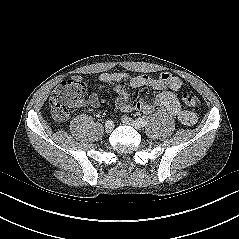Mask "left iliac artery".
<instances>
[{"label":"left iliac artery","instance_id":"1","mask_svg":"<svg viewBox=\"0 0 239 239\" xmlns=\"http://www.w3.org/2000/svg\"><path fill=\"white\" fill-rule=\"evenodd\" d=\"M136 121L141 127H143L147 124V121L144 118L139 117V118L136 119Z\"/></svg>","mask_w":239,"mask_h":239}]
</instances>
